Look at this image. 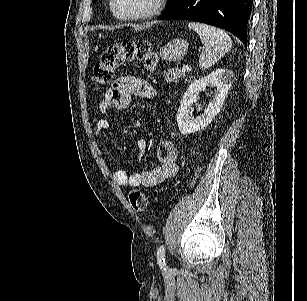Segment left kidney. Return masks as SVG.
Instances as JSON below:
<instances>
[{
    "mask_svg": "<svg viewBox=\"0 0 307 301\" xmlns=\"http://www.w3.org/2000/svg\"><path fill=\"white\" fill-rule=\"evenodd\" d=\"M233 76L232 70L217 68V70H212L207 76L195 78L189 84L180 100V106L176 114L181 134H191V132L201 130V128H205V126L210 124L211 120L215 118L223 106L230 84L234 80ZM206 86H214V96L207 108H204L203 114H199V116L194 118L190 106L198 100L200 90H204Z\"/></svg>",
    "mask_w": 307,
    "mask_h": 301,
    "instance_id": "5707ae66",
    "label": "left kidney"
}]
</instances>
